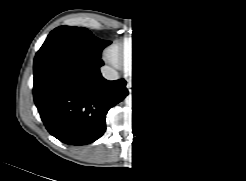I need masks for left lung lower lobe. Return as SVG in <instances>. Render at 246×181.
Segmentation results:
<instances>
[{
	"label": "left lung lower lobe",
	"instance_id": "1",
	"mask_svg": "<svg viewBox=\"0 0 246 181\" xmlns=\"http://www.w3.org/2000/svg\"><path fill=\"white\" fill-rule=\"evenodd\" d=\"M220 83L211 53L190 57L178 79L166 87L136 89L138 116L153 143L175 146L205 129L216 109Z\"/></svg>",
	"mask_w": 246,
	"mask_h": 181
}]
</instances>
